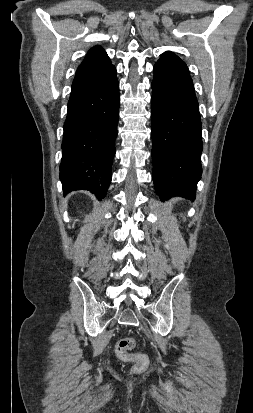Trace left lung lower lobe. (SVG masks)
<instances>
[{
	"mask_svg": "<svg viewBox=\"0 0 253 413\" xmlns=\"http://www.w3.org/2000/svg\"><path fill=\"white\" fill-rule=\"evenodd\" d=\"M151 137L153 181L161 199H195L201 178V120L186 64L165 52L153 68Z\"/></svg>",
	"mask_w": 253,
	"mask_h": 413,
	"instance_id": "obj_1",
	"label": "left lung lower lobe"
}]
</instances>
